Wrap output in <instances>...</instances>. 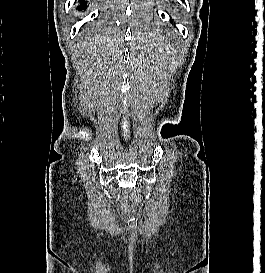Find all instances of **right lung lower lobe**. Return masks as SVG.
Listing matches in <instances>:
<instances>
[{
	"mask_svg": "<svg viewBox=\"0 0 265 273\" xmlns=\"http://www.w3.org/2000/svg\"><path fill=\"white\" fill-rule=\"evenodd\" d=\"M87 8V2L84 0L80 1V5L77 7L78 10H85Z\"/></svg>",
	"mask_w": 265,
	"mask_h": 273,
	"instance_id": "right-lung-lower-lobe-1",
	"label": "right lung lower lobe"
}]
</instances>
